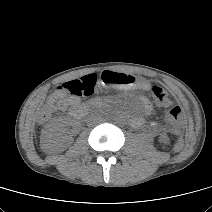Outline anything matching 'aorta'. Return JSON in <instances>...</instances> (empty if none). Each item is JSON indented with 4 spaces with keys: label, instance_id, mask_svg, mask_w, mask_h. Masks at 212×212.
Returning <instances> with one entry per match:
<instances>
[{
    "label": "aorta",
    "instance_id": "762f6f07",
    "mask_svg": "<svg viewBox=\"0 0 212 212\" xmlns=\"http://www.w3.org/2000/svg\"><path fill=\"white\" fill-rule=\"evenodd\" d=\"M116 121H117V122H122V121H123V118H122V117H119V118H117Z\"/></svg>",
    "mask_w": 212,
    "mask_h": 212
}]
</instances>
